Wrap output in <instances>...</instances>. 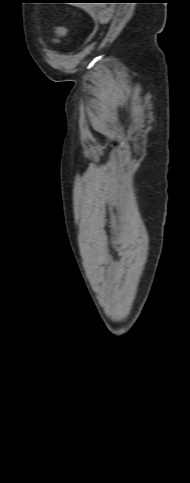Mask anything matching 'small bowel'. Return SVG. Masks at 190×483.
Masks as SVG:
<instances>
[{
    "instance_id": "1",
    "label": "small bowel",
    "mask_w": 190,
    "mask_h": 483,
    "mask_svg": "<svg viewBox=\"0 0 190 483\" xmlns=\"http://www.w3.org/2000/svg\"><path fill=\"white\" fill-rule=\"evenodd\" d=\"M64 30L62 28H59L57 30V36L52 39V41L56 42L59 37H62L64 35Z\"/></svg>"
}]
</instances>
